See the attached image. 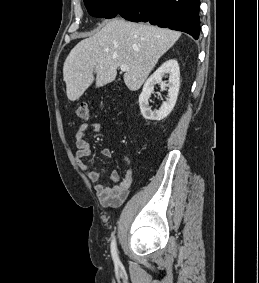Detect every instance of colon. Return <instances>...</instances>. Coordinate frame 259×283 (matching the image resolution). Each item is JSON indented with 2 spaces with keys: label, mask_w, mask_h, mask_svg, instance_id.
I'll list each match as a JSON object with an SVG mask.
<instances>
[{
  "label": "colon",
  "mask_w": 259,
  "mask_h": 283,
  "mask_svg": "<svg viewBox=\"0 0 259 283\" xmlns=\"http://www.w3.org/2000/svg\"><path fill=\"white\" fill-rule=\"evenodd\" d=\"M76 116L81 120L90 118L89 106L87 103H80L76 109Z\"/></svg>",
  "instance_id": "colon-1"
}]
</instances>
